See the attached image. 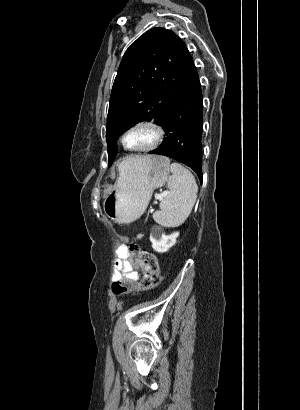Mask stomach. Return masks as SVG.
Wrapping results in <instances>:
<instances>
[{
	"label": "stomach",
	"mask_w": 300,
	"mask_h": 410,
	"mask_svg": "<svg viewBox=\"0 0 300 410\" xmlns=\"http://www.w3.org/2000/svg\"><path fill=\"white\" fill-rule=\"evenodd\" d=\"M169 174V159L159 155H147L137 165L126 166L114 189L104 197L105 215L117 223L134 222L145 212L153 191L167 182Z\"/></svg>",
	"instance_id": "obj_1"
}]
</instances>
